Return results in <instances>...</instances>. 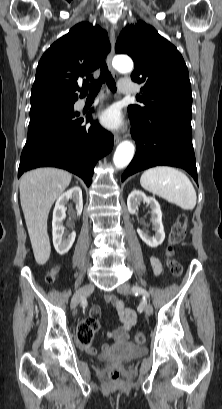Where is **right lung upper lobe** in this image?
Here are the masks:
<instances>
[{
	"label": "right lung upper lobe",
	"mask_w": 222,
	"mask_h": 409,
	"mask_svg": "<svg viewBox=\"0 0 222 409\" xmlns=\"http://www.w3.org/2000/svg\"><path fill=\"white\" fill-rule=\"evenodd\" d=\"M110 51L107 32L87 22L75 25L43 54L32 87L31 107L43 104L74 103L86 96L81 78L93 81L91 73ZM80 95L78 92H80Z\"/></svg>",
	"instance_id": "1"
}]
</instances>
